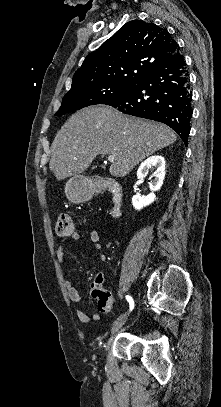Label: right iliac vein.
Listing matches in <instances>:
<instances>
[{"label": "right iliac vein", "mask_w": 221, "mask_h": 407, "mask_svg": "<svg viewBox=\"0 0 221 407\" xmlns=\"http://www.w3.org/2000/svg\"><path fill=\"white\" fill-rule=\"evenodd\" d=\"M126 321V316L124 315L123 317H121L112 327L111 329V334H115L125 323Z\"/></svg>", "instance_id": "obj_1"}]
</instances>
